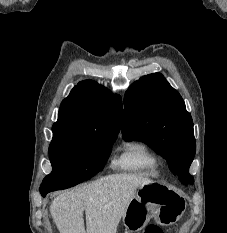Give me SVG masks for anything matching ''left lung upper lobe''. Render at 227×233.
<instances>
[{"instance_id": "1", "label": "left lung upper lobe", "mask_w": 227, "mask_h": 233, "mask_svg": "<svg viewBox=\"0 0 227 233\" xmlns=\"http://www.w3.org/2000/svg\"><path fill=\"white\" fill-rule=\"evenodd\" d=\"M122 136L139 140L163 156L170 170L184 184H193L189 174L196 141L193 121L180 94L164 76L153 73L134 82L124 98Z\"/></svg>"}]
</instances>
